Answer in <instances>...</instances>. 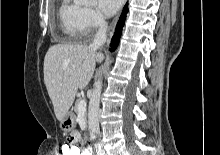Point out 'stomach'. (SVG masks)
Masks as SVG:
<instances>
[{"mask_svg":"<svg viewBox=\"0 0 220 155\" xmlns=\"http://www.w3.org/2000/svg\"><path fill=\"white\" fill-rule=\"evenodd\" d=\"M60 127L64 132L75 128V115L72 112H67L64 119L60 123Z\"/></svg>","mask_w":220,"mask_h":155,"instance_id":"1","label":"stomach"}]
</instances>
